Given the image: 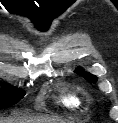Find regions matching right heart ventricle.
Returning a JSON list of instances; mask_svg holds the SVG:
<instances>
[{"label":"right heart ventricle","mask_w":118,"mask_h":123,"mask_svg":"<svg viewBox=\"0 0 118 123\" xmlns=\"http://www.w3.org/2000/svg\"><path fill=\"white\" fill-rule=\"evenodd\" d=\"M58 103L68 109L77 111H83L86 107L85 100L81 93L77 89L67 87L61 88Z\"/></svg>","instance_id":"obj_1"}]
</instances>
